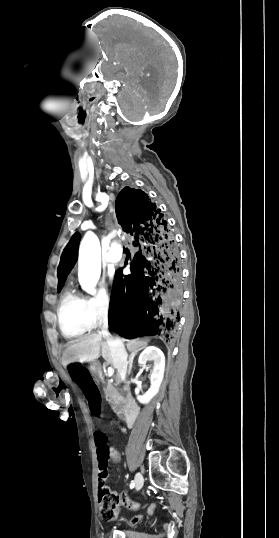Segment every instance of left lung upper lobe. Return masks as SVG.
<instances>
[{"instance_id": "5c2ea615", "label": "left lung upper lobe", "mask_w": 279, "mask_h": 538, "mask_svg": "<svg viewBox=\"0 0 279 538\" xmlns=\"http://www.w3.org/2000/svg\"><path fill=\"white\" fill-rule=\"evenodd\" d=\"M80 238V234L75 233L61 255L58 267V292H60L67 275L77 261Z\"/></svg>"}]
</instances>
